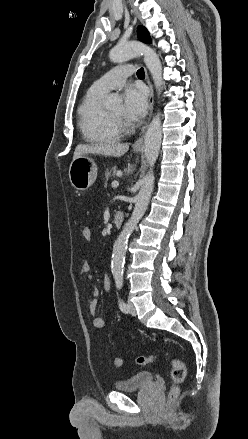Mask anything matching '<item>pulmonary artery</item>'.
<instances>
[{
  "instance_id": "1",
  "label": "pulmonary artery",
  "mask_w": 248,
  "mask_h": 439,
  "mask_svg": "<svg viewBox=\"0 0 248 439\" xmlns=\"http://www.w3.org/2000/svg\"><path fill=\"white\" fill-rule=\"evenodd\" d=\"M132 74L133 68L130 65L116 67L96 80L90 89L96 93L106 94L110 90L122 86L126 78Z\"/></svg>"
}]
</instances>
